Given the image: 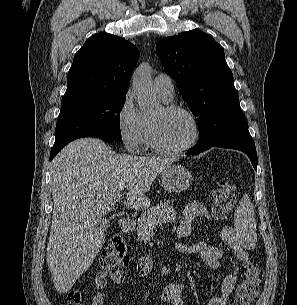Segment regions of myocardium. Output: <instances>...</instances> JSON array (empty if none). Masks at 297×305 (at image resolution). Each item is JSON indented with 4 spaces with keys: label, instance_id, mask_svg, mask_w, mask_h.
Here are the masks:
<instances>
[{
    "label": "myocardium",
    "instance_id": "obj_1",
    "mask_svg": "<svg viewBox=\"0 0 297 305\" xmlns=\"http://www.w3.org/2000/svg\"><path fill=\"white\" fill-rule=\"evenodd\" d=\"M162 110L167 114L181 113V114H184L185 116H187L190 119L192 126H193V135H192L191 139L185 145L176 147V148H168V147L164 146L161 143V141L159 140L156 124L151 119L150 125H149L150 146L154 150H156L157 152H159L163 155H177V154L184 153V152L188 151L189 149H191L196 144V142L198 141L199 136H200V124H199V121H198V118L196 117V115L191 110H189L183 106L175 105V104H168V105L164 106L162 108Z\"/></svg>",
    "mask_w": 297,
    "mask_h": 305
}]
</instances>
